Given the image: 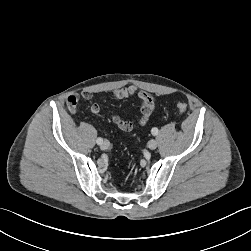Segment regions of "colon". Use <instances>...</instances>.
I'll return each instance as SVG.
<instances>
[{"label":"colon","mask_w":251,"mask_h":251,"mask_svg":"<svg viewBox=\"0 0 251 251\" xmlns=\"http://www.w3.org/2000/svg\"><path fill=\"white\" fill-rule=\"evenodd\" d=\"M177 110L180 113H185L187 111V105L183 102H179V103H177Z\"/></svg>","instance_id":"colon-1"}]
</instances>
